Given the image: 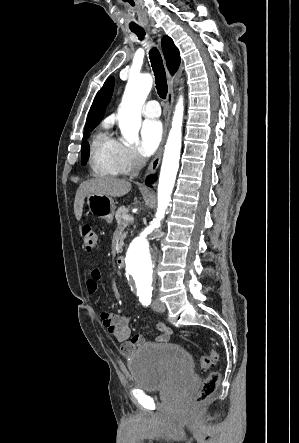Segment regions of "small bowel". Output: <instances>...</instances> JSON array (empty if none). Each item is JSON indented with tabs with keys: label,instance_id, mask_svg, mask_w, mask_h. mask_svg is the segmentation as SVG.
Wrapping results in <instances>:
<instances>
[{
	"label": "small bowel",
	"instance_id": "small-bowel-1",
	"mask_svg": "<svg viewBox=\"0 0 299 443\" xmlns=\"http://www.w3.org/2000/svg\"><path fill=\"white\" fill-rule=\"evenodd\" d=\"M101 280V271L94 268L90 271L86 280V289L88 293L95 294L99 288ZM100 319L105 329H107L110 337L119 343H124L122 351L124 354H131L136 348L145 344L146 340L141 334H132L129 326V317L121 313L101 312ZM160 334L155 338V343H166L169 341L172 331L163 323L156 325Z\"/></svg>",
	"mask_w": 299,
	"mask_h": 443
}]
</instances>
